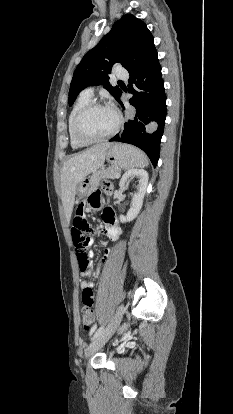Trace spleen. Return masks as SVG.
<instances>
[{
	"label": "spleen",
	"instance_id": "obj_1",
	"mask_svg": "<svg viewBox=\"0 0 233 414\" xmlns=\"http://www.w3.org/2000/svg\"><path fill=\"white\" fill-rule=\"evenodd\" d=\"M148 159L144 157V160L136 167H147L148 166Z\"/></svg>",
	"mask_w": 233,
	"mask_h": 414
}]
</instances>
